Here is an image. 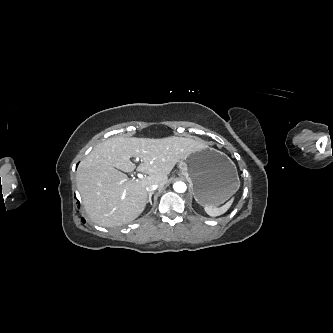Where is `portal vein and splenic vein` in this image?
<instances>
[{"mask_svg":"<svg viewBox=\"0 0 333 333\" xmlns=\"http://www.w3.org/2000/svg\"><path fill=\"white\" fill-rule=\"evenodd\" d=\"M135 161L138 162V161H139V158H136ZM138 177H139V178H143V175L139 173V174H138Z\"/></svg>","mask_w":333,"mask_h":333,"instance_id":"portal-vein-and-splenic-vein-1","label":"portal vein and splenic vein"}]
</instances>
